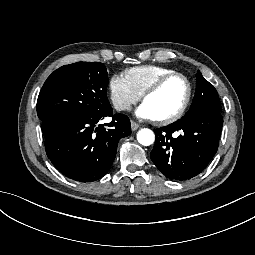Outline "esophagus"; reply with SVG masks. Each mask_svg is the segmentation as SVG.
<instances>
[{
  "mask_svg": "<svg viewBox=\"0 0 255 255\" xmlns=\"http://www.w3.org/2000/svg\"><path fill=\"white\" fill-rule=\"evenodd\" d=\"M138 128H139V124L134 122V121H131V129H132V131H136Z\"/></svg>",
  "mask_w": 255,
  "mask_h": 255,
  "instance_id": "34e87169",
  "label": "esophagus"
}]
</instances>
